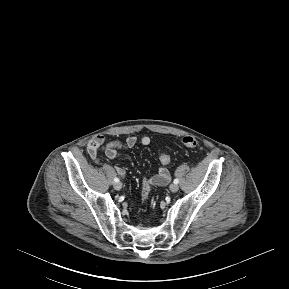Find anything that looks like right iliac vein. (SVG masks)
I'll return each mask as SVG.
<instances>
[{"label": "right iliac vein", "mask_w": 289, "mask_h": 289, "mask_svg": "<svg viewBox=\"0 0 289 289\" xmlns=\"http://www.w3.org/2000/svg\"><path fill=\"white\" fill-rule=\"evenodd\" d=\"M122 188V184L120 182L114 184L115 190H120Z\"/></svg>", "instance_id": "63e3f726"}]
</instances>
